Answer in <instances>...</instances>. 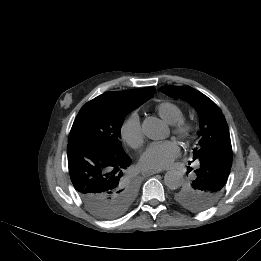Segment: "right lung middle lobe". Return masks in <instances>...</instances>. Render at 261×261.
Segmentation results:
<instances>
[{
  "label": "right lung middle lobe",
  "mask_w": 261,
  "mask_h": 261,
  "mask_svg": "<svg viewBox=\"0 0 261 261\" xmlns=\"http://www.w3.org/2000/svg\"><path fill=\"white\" fill-rule=\"evenodd\" d=\"M142 103H120L102 97L86 103L79 111L69 134L68 142L86 140L102 151L125 154L120 138L124 116ZM137 192L134 180L123 176L114 186L102 188L84 204L94 215L112 219L123 214L133 203Z\"/></svg>",
  "instance_id": "obj_1"
}]
</instances>
